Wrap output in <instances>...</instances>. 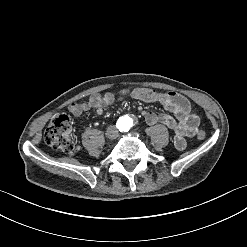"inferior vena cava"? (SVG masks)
<instances>
[{
	"mask_svg": "<svg viewBox=\"0 0 247 247\" xmlns=\"http://www.w3.org/2000/svg\"><path fill=\"white\" fill-rule=\"evenodd\" d=\"M119 132L117 130V128L114 125H111L108 127L107 129V135L110 138H116L118 136Z\"/></svg>",
	"mask_w": 247,
	"mask_h": 247,
	"instance_id": "602c4592",
	"label": "inferior vena cava"
}]
</instances>
